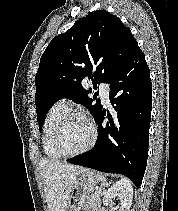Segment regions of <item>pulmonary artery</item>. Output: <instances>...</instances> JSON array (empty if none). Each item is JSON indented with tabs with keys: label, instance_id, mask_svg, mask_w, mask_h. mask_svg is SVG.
Here are the masks:
<instances>
[{
	"label": "pulmonary artery",
	"instance_id": "pulmonary-artery-1",
	"mask_svg": "<svg viewBox=\"0 0 178 211\" xmlns=\"http://www.w3.org/2000/svg\"><path fill=\"white\" fill-rule=\"evenodd\" d=\"M100 97L104 102H109V85L106 83L99 84Z\"/></svg>",
	"mask_w": 178,
	"mask_h": 211
}]
</instances>
